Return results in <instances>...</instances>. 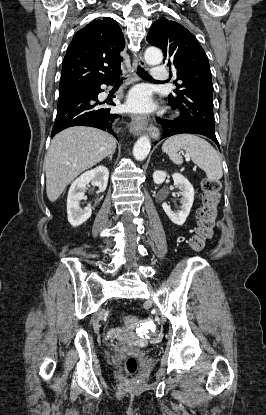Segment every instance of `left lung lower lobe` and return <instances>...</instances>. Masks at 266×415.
<instances>
[{
  "instance_id": "left-lung-lower-lobe-1",
  "label": "left lung lower lobe",
  "mask_w": 266,
  "mask_h": 415,
  "mask_svg": "<svg viewBox=\"0 0 266 415\" xmlns=\"http://www.w3.org/2000/svg\"><path fill=\"white\" fill-rule=\"evenodd\" d=\"M157 121L163 128V135L161 139L181 133L201 134L213 140L219 147L215 132L187 122L183 120L181 116L174 120L160 119L157 117Z\"/></svg>"
}]
</instances>
